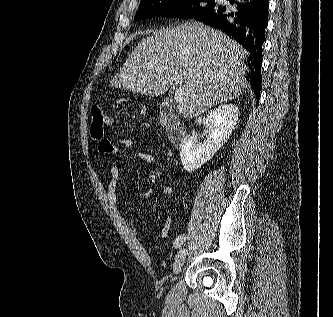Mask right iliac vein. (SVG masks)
Masks as SVG:
<instances>
[{
	"mask_svg": "<svg viewBox=\"0 0 333 317\" xmlns=\"http://www.w3.org/2000/svg\"><path fill=\"white\" fill-rule=\"evenodd\" d=\"M186 255H187L186 248H181L178 251L176 258H175L174 265H173V272L175 275H177L181 271V269L184 265L185 259H186Z\"/></svg>",
	"mask_w": 333,
	"mask_h": 317,
	"instance_id": "1",
	"label": "right iliac vein"
}]
</instances>
